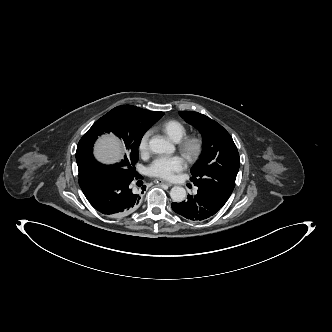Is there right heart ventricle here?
Masks as SVG:
<instances>
[{
    "mask_svg": "<svg viewBox=\"0 0 332 332\" xmlns=\"http://www.w3.org/2000/svg\"><path fill=\"white\" fill-rule=\"evenodd\" d=\"M159 129L172 141H181L187 132L186 126L178 120H168L159 126Z\"/></svg>",
    "mask_w": 332,
    "mask_h": 332,
    "instance_id": "obj_1",
    "label": "right heart ventricle"
}]
</instances>
